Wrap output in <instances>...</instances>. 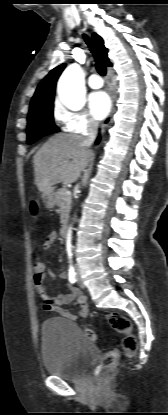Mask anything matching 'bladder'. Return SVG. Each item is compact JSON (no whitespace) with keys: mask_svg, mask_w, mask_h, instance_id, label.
<instances>
[{"mask_svg":"<svg viewBox=\"0 0 168 415\" xmlns=\"http://www.w3.org/2000/svg\"><path fill=\"white\" fill-rule=\"evenodd\" d=\"M41 350L46 371L67 380L80 378L98 354L78 325L57 317L42 323Z\"/></svg>","mask_w":168,"mask_h":415,"instance_id":"obj_1","label":"bladder"}]
</instances>
